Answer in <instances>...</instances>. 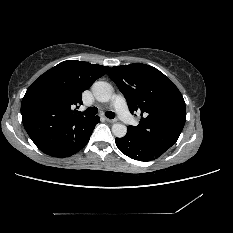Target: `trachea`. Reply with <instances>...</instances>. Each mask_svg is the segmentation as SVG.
Returning <instances> with one entry per match:
<instances>
[{
  "mask_svg": "<svg viewBox=\"0 0 233 233\" xmlns=\"http://www.w3.org/2000/svg\"><path fill=\"white\" fill-rule=\"evenodd\" d=\"M98 112V109L96 107H89L87 108L82 114L87 115V116H94ZM105 116L109 119H113L115 117L114 112L107 111L105 112Z\"/></svg>",
  "mask_w": 233,
  "mask_h": 233,
  "instance_id": "trachea-1",
  "label": "trachea"
}]
</instances>
